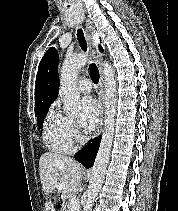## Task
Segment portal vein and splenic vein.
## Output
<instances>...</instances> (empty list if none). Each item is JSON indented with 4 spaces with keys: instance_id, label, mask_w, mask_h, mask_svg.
I'll return each instance as SVG.
<instances>
[{
    "instance_id": "obj_1",
    "label": "portal vein and splenic vein",
    "mask_w": 178,
    "mask_h": 211,
    "mask_svg": "<svg viewBox=\"0 0 178 211\" xmlns=\"http://www.w3.org/2000/svg\"><path fill=\"white\" fill-rule=\"evenodd\" d=\"M56 187H57V189H58V191H61V190H64L65 189V185L64 184H58V185H56ZM79 202H78V199L75 197V196H73L72 198H71V210L72 211H74L75 209H77V207L79 206V204H78Z\"/></svg>"
}]
</instances>
